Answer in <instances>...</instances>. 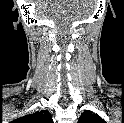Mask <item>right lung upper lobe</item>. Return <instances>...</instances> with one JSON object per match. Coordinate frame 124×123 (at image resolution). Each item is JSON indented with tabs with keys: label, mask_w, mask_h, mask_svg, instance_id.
I'll use <instances>...</instances> for the list:
<instances>
[{
	"label": "right lung upper lobe",
	"mask_w": 124,
	"mask_h": 123,
	"mask_svg": "<svg viewBox=\"0 0 124 123\" xmlns=\"http://www.w3.org/2000/svg\"><path fill=\"white\" fill-rule=\"evenodd\" d=\"M18 123H53L48 111L41 110L15 120Z\"/></svg>",
	"instance_id": "obj_1"
}]
</instances>
